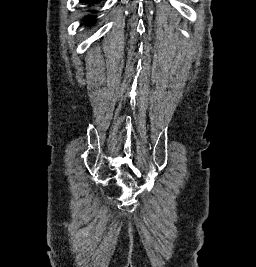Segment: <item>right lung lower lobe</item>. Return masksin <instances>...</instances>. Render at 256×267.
<instances>
[{"label":"right lung lower lobe","instance_id":"1","mask_svg":"<svg viewBox=\"0 0 256 267\" xmlns=\"http://www.w3.org/2000/svg\"><path fill=\"white\" fill-rule=\"evenodd\" d=\"M81 2L83 3H88V4H94V3H98L100 2V0H80ZM96 17L93 16V15H88L85 19V23L84 24H87L89 26H91L94 22H95V19Z\"/></svg>","mask_w":256,"mask_h":267}]
</instances>
